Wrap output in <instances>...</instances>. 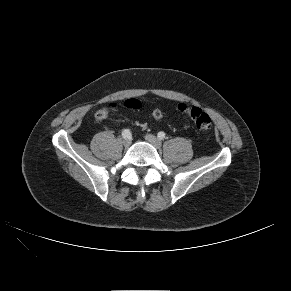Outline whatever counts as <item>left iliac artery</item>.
Here are the masks:
<instances>
[{
  "label": "left iliac artery",
  "mask_w": 291,
  "mask_h": 291,
  "mask_svg": "<svg viewBox=\"0 0 291 291\" xmlns=\"http://www.w3.org/2000/svg\"><path fill=\"white\" fill-rule=\"evenodd\" d=\"M158 138H159V139H164V138H165V133L162 132V131L159 132V133H158Z\"/></svg>",
  "instance_id": "44dca946"
}]
</instances>
